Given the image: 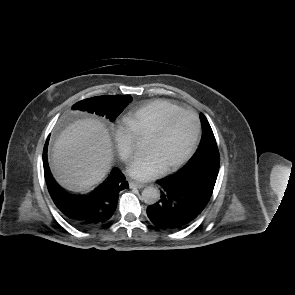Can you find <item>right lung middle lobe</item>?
Here are the masks:
<instances>
[{
    "mask_svg": "<svg viewBox=\"0 0 295 295\" xmlns=\"http://www.w3.org/2000/svg\"><path fill=\"white\" fill-rule=\"evenodd\" d=\"M131 101L129 95H105L82 100L72 108L95 113L113 122Z\"/></svg>",
    "mask_w": 295,
    "mask_h": 295,
    "instance_id": "1",
    "label": "right lung middle lobe"
}]
</instances>
